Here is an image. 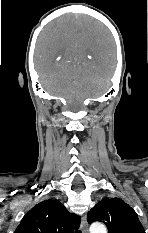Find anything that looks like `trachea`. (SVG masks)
Segmentation results:
<instances>
[{
    "label": "trachea",
    "instance_id": "1",
    "mask_svg": "<svg viewBox=\"0 0 148 233\" xmlns=\"http://www.w3.org/2000/svg\"><path fill=\"white\" fill-rule=\"evenodd\" d=\"M77 233H81V231H77Z\"/></svg>",
    "mask_w": 148,
    "mask_h": 233
}]
</instances>
